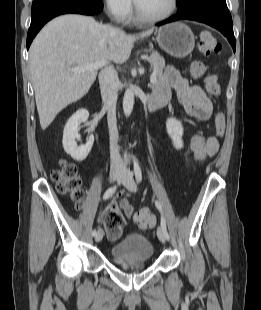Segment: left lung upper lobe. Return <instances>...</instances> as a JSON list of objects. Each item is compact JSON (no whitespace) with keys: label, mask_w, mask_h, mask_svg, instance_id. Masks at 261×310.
<instances>
[{"label":"left lung upper lobe","mask_w":261,"mask_h":310,"mask_svg":"<svg viewBox=\"0 0 261 310\" xmlns=\"http://www.w3.org/2000/svg\"><path fill=\"white\" fill-rule=\"evenodd\" d=\"M201 0H177L178 13L193 9Z\"/></svg>","instance_id":"1"}]
</instances>
